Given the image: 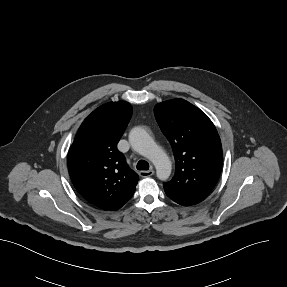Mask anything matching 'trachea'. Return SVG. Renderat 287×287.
Segmentation results:
<instances>
[{"label":"trachea","instance_id":"trachea-1","mask_svg":"<svg viewBox=\"0 0 287 287\" xmlns=\"http://www.w3.org/2000/svg\"><path fill=\"white\" fill-rule=\"evenodd\" d=\"M136 168L138 170H142V171H147L149 169V163L145 160H140L138 163H137V166Z\"/></svg>","mask_w":287,"mask_h":287}]
</instances>
